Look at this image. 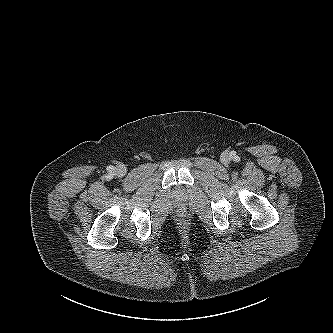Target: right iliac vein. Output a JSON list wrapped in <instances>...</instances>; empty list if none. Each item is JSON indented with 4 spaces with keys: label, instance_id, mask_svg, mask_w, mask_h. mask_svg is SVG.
<instances>
[{
    "label": "right iliac vein",
    "instance_id": "right-iliac-vein-1",
    "mask_svg": "<svg viewBox=\"0 0 333 333\" xmlns=\"http://www.w3.org/2000/svg\"><path fill=\"white\" fill-rule=\"evenodd\" d=\"M116 173H117L118 176H123V175L126 174V168L119 167V168H117Z\"/></svg>",
    "mask_w": 333,
    "mask_h": 333
}]
</instances>
